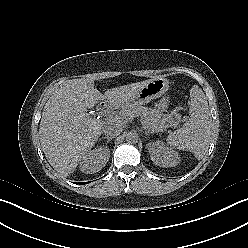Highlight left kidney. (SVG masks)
I'll list each match as a JSON object with an SVG mask.
<instances>
[{
    "mask_svg": "<svg viewBox=\"0 0 248 248\" xmlns=\"http://www.w3.org/2000/svg\"><path fill=\"white\" fill-rule=\"evenodd\" d=\"M151 160L160 167H175L180 162L177 152L165 146L160 141L150 142L147 144Z\"/></svg>",
    "mask_w": 248,
    "mask_h": 248,
    "instance_id": "1",
    "label": "left kidney"
}]
</instances>
